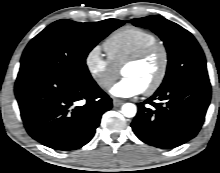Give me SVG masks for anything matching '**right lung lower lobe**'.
Wrapping results in <instances>:
<instances>
[{
	"label": "right lung lower lobe",
	"instance_id": "1",
	"mask_svg": "<svg viewBox=\"0 0 220 173\" xmlns=\"http://www.w3.org/2000/svg\"><path fill=\"white\" fill-rule=\"evenodd\" d=\"M15 95L28 134L55 150L87 144L112 100L96 82L75 81L51 71H20Z\"/></svg>",
	"mask_w": 220,
	"mask_h": 173
}]
</instances>
